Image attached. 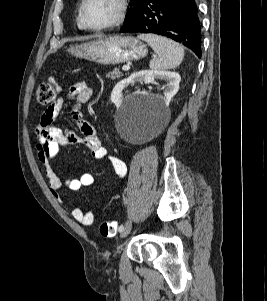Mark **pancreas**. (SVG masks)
I'll use <instances>...</instances> for the list:
<instances>
[{
  "label": "pancreas",
  "instance_id": "obj_1",
  "mask_svg": "<svg viewBox=\"0 0 267 301\" xmlns=\"http://www.w3.org/2000/svg\"><path fill=\"white\" fill-rule=\"evenodd\" d=\"M121 72L119 71V69L118 68H115L113 71H110V72H108L107 74H106V77L108 78V77H111V79L112 80H114V79H118L120 76H121Z\"/></svg>",
  "mask_w": 267,
  "mask_h": 301
}]
</instances>
